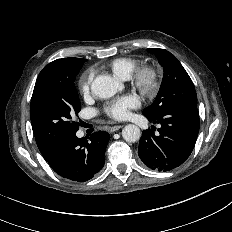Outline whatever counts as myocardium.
Segmentation results:
<instances>
[{"label": "myocardium", "instance_id": "1", "mask_svg": "<svg viewBox=\"0 0 232 232\" xmlns=\"http://www.w3.org/2000/svg\"><path fill=\"white\" fill-rule=\"evenodd\" d=\"M133 85L144 95H154L160 86V75L156 67L143 65L132 76Z\"/></svg>", "mask_w": 232, "mask_h": 232}]
</instances>
